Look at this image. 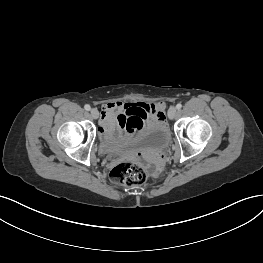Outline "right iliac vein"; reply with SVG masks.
<instances>
[{
  "label": "right iliac vein",
  "instance_id": "right-iliac-vein-1",
  "mask_svg": "<svg viewBox=\"0 0 263 263\" xmlns=\"http://www.w3.org/2000/svg\"><path fill=\"white\" fill-rule=\"evenodd\" d=\"M90 114H91L92 118H94V119H97L99 117V111L95 108L90 110Z\"/></svg>",
  "mask_w": 263,
  "mask_h": 263
}]
</instances>
